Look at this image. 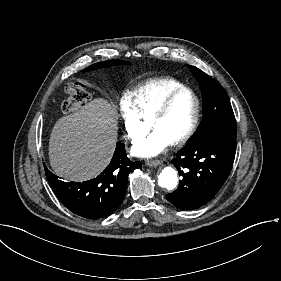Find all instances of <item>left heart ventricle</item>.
I'll list each match as a JSON object with an SVG mask.
<instances>
[{
  "label": "left heart ventricle",
  "mask_w": 281,
  "mask_h": 281,
  "mask_svg": "<svg viewBox=\"0 0 281 281\" xmlns=\"http://www.w3.org/2000/svg\"><path fill=\"white\" fill-rule=\"evenodd\" d=\"M194 108V99L189 94L178 97L150 131L158 132L171 143L181 137L187 130Z\"/></svg>",
  "instance_id": "obj_1"
}]
</instances>
